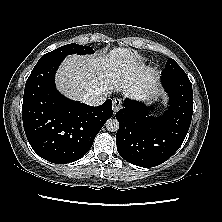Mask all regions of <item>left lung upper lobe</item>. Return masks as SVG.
<instances>
[{"label": "left lung upper lobe", "instance_id": "left-lung-upper-lobe-1", "mask_svg": "<svg viewBox=\"0 0 222 222\" xmlns=\"http://www.w3.org/2000/svg\"><path fill=\"white\" fill-rule=\"evenodd\" d=\"M162 75L187 76L183 69L171 58L168 59Z\"/></svg>", "mask_w": 222, "mask_h": 222}]
</instances>
